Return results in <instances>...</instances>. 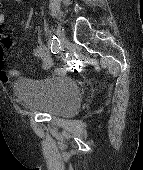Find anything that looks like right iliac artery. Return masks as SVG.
<instances>
[{
	"instance_id": "obj_1",
	"label": "right iliac artery",
	"mask_w": 143,
	"mask_h": 170,
	"mask_svg": "<svg viewBox=\"0 0 143 170\" xmlns=\"http://www.w3.org/2000/svg\"><path fill=\"white\" fill-rule=\"evenodd\" d=\"M51 52L53 54H57L60 51V41L56 36H53L52 42H51Z\"/></svg>"
}]
</instances>
